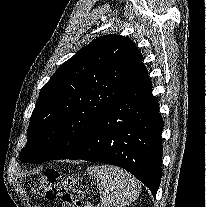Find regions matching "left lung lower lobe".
<instances>
[{
    "instance_id": "1",
    "label": "left lung lower lobe",
    "mask_w": 206,
    "mask_h": 207,
    "mask_svg": "<svg viewBox=\"0 0 206 207\" xmlns=\"http://www.w3.org/2000/svg\"><path fill=\"white\" fill-rule=\"evenodd\" d=\"M163 121L145 68L106 109L87 141L64 159L126 169L156 196L162 176Z\"/></svg>"
}]
</instances>
